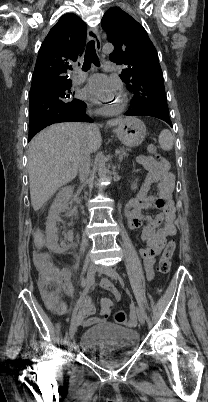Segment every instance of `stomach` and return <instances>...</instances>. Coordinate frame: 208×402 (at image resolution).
Returning a JSON list of instances; mask_svg holds the SVG:
<instances>
[{
    "instance_id": "obj_1",
    "label": "stomach",
    "mask_w": 208,
    "mask_h": 402,
    "mask_svg": "<svg viewBox=\"0 0 208 402\" xmlns=\"http://www.w3.org/2000/svg\"><path fill=\"white\" fill-rule=\"evenodd\" d=\"M117 138L120 142L127 146V148H135V146H140L144 142L146 136L145 124L138 120V118H124L117 128L114 130Z\"/></svg>"
}]
</instances>
